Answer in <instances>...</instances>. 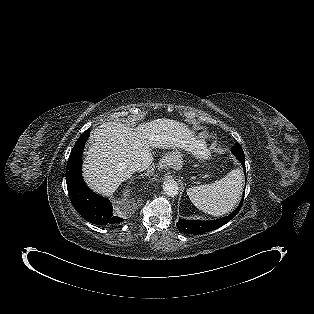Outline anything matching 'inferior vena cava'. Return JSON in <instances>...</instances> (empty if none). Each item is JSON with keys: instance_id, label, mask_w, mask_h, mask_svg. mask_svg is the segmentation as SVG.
<instances>
[{"instance_id": "inferior-vena-cava-1", "label": "inferior vena cava", "mask_w": 314, "mask_h": 314, "mask_svg": "<svg viewBox=\"0 0 314 314\" xmlns=\"http://www.w3.org/2000/svg\"><path fill=\"white\" fill-rule=\"evenodd\" d=\"M143 170H144V168H143L142 164L139 163V162L131 163V164L128 166V168H127V171H128V173H130V174H132V173H134V172H137V171H143Z\"/></svg>"}]
</instances>
